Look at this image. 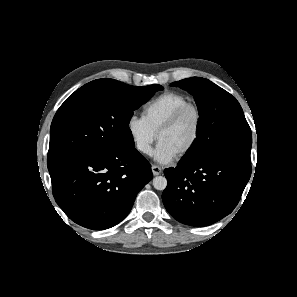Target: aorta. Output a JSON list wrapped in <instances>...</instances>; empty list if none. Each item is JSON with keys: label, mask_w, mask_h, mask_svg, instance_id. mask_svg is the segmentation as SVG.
I'll list each match as a JSON object with an SVG mask.
<instances>
[{"label": "aorta", "mask_w": 297, "mask_h": 297, "mask_svg": "<svg viewBox=\"0 0 297 297\" xmlns=\"http://www.w3.org/2000/svg\"><path fill=\"white\" fill-rule=\"evenodd\" d=\"M153 186L157 190H164L167 186V179L164 176H156L153 179Z\"/></svg>", "instance_id": "762f6f07"}]
</instances>
